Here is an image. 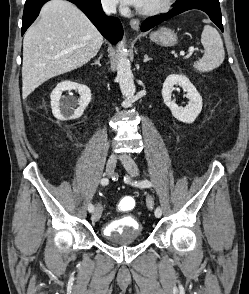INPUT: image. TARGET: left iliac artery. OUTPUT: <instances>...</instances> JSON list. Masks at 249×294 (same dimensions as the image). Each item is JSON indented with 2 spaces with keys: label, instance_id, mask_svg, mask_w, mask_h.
Segmentation results:
<instances>
[{
  "label": "left iliac artery",
  "instance_id": "left-iliac-artery-1",
  "mask_svg": "<svg viewBox=\"0 0 249 294\" xmlns=\"http://www.w3.org/2000/svg\"><path fill=\"white\" fill-rule=\"evenodd\" d=\"M124 180L126 181V182H128L129 181V178L128 177H125L124 178ZM135 186H139V187H142V188H149V187H151L152 186V183L149 181V180H143V181H140V182H134L133 183ZM162 215V210L160 209V207H157L156 209H155V216L157 217V218H159L160 216Z\"/></svg>",
  "mask_w": 249,
  "mask_h": 294
}]
</instances>
